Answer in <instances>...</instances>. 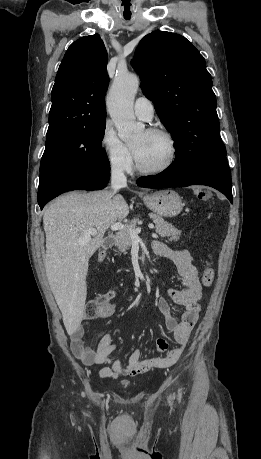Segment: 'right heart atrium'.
<instances>
[{
  "label": "right heart atrium",
  "instance_id": "right-heart-atrium-1",
  "mask_svg": "<svg viewBox=\"0 0 261 459\" xmlns=\"http://www.w3.org/2000/svg\"><path fill=\"white\" fill-rule=\"evenodd\" d=\"M99 142L112 171L127 173L132 169L133 160L130 149L118 137L110 124L104 125Z\"/></svg>",
  "mask_w": 261,
  "mask_h": 459
}]
</instances>
